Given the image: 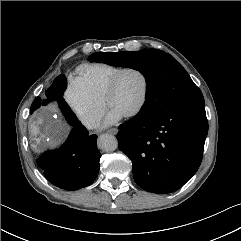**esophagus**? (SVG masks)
Wrapping results in <instances>:
<instances>
[{
  "instance_id": "esophagus-1",
  "label": "esophagus",
  "mask_w": 241,
  "mask_h": 241,
  "mask_svg": "<svg viewBox=\"0 0 241 241\" xmlns=\"http://www.w3.org/2000/svg\"><path fill=\"white\" fill-rule=\"evenodd\" d=\"M117 131L118 130L116 128H113V129L108 130L107 132L110 133V134H116Z\"/></svg>"
}]
</instances>
